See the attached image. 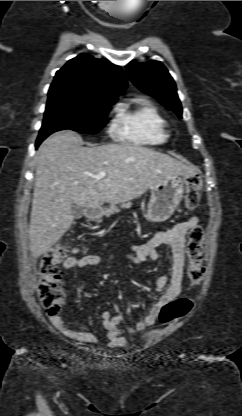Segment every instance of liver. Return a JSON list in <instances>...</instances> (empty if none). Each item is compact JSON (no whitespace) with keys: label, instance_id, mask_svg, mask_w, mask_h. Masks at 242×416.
<instances>
[{"label":"liver","instance_id":"6515ba94","mask_svg":"<svg viewBox=\"0 0 242 416\" xmlns=\"http://www.w3.org/2000/svg\"><path fill=\"white\" fill-rule=\"evenodd\" d=\"M106 172L102 179L92 176ZM196 171L150 148L122 143L82 146L72 131L46 138L37 151L36 176L29 225L30 251L40 257L55 245L73 222L71 205L100 208L140 197L169 175Z\"/></svg>","mask_w":242,"mask_h":416}]
</instances>
